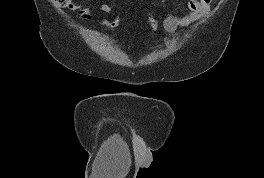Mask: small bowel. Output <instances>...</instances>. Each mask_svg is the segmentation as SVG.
Wrapping results in <instances>:
<instances>
[{
    "mask_svg": "<svg viewBox=\"0 0 264 178\" xmlns=\"http://www.w3.org/2000/svg\"><path fill=\"white\" fill-rule=\"evenodd\" d=\"M213 0H190L187 4V12L185 14H168L162 20L163 29L167 33H174L180 28H185L193 22L200 20L210 11ZM79 17L83 20H90L94 17L93 11L87 6H73ZM100 9L105 14H110L112 8L107 3H102Z\"/></svg>",
    "mask_w": 264,
    "mask_h": 178,
    "instance_id": "obj_1",
    "label": "small bowel"
}]
</instances>
